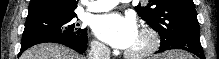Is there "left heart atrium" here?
I'll use <instances>...</instances> for the list:
<instances>
[{"instance_id": "1", "label": "left heart atrium", "mask_w": 219, "mask_h": 59, "mask_svg": "<svg viewBox=\"0 0 219 59\" xmlns=\"http://www.w3.org/2000/svg\"><path fill=\"white\" fill-rule=\"evenodd\" d=\"M92 29L101 41L120 49H128L139 34L136 21L118 12L97 16Z\"/></svg>"}]
</instances>
